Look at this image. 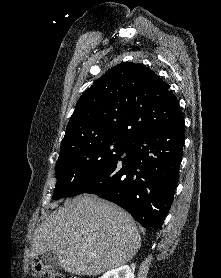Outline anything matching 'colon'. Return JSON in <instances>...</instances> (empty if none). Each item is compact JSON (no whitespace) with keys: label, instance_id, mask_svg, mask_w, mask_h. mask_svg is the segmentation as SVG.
<instances>
[{"label":"colon","instance_id":"5ec220e1","mask_svg":"<svg viewBox=\"0 0 221 278\" xmlns=\"http://www.w3.org/2000/svg\"><path fill=\"white\" fill-rule=\"evenodd\" d=\"M31 268L37 278H64L58 269L44 263L40 258L31 260Z\"/></svg>","mask_w":221,"mask_h":278}]
</instances>
